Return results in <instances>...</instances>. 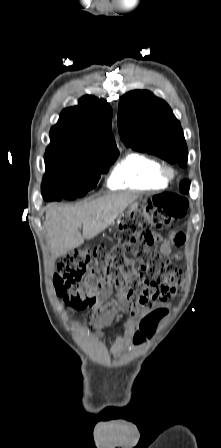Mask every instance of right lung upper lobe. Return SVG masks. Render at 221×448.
<instances>
[{
    "mask_svg": "<svg viewBox=\"0 0 221 448\" xmlns=\"http://www.w3.org/2000/svg\"><path fill=\"white\" fill-rule=\"evenodd\" d=\"M112 109L104 99L84 96L79 105L62 111L50 130V150L88 157L106 156L118 149L111 132Z\"/></svg>",
    "mask_w": 221,
    "mask_h": 448,
    "instance_id": "obj_1",
    "label": "right lung upper lobe"
}]
</instances>
